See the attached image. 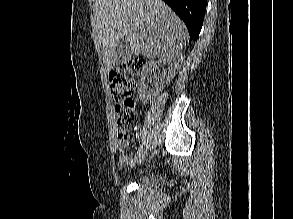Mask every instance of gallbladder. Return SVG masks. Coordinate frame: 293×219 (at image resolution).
<instances>
[{"label": "gallbladder", "instance_id": "1", "mask_svg": "<svg viewBox=\"0 0 293 219\" xmlns=\"http://www.w3.org/2000/svg\"><path fill=\"white\" fill-rule=\"evenodd\" d=\"M132 56V52L130 49V43L126 37L121 38L116 46L115 57H116V65H122L127 63Z\"/></svg>", "mask_w": 293, "mask_h": 219}]
</instances>
